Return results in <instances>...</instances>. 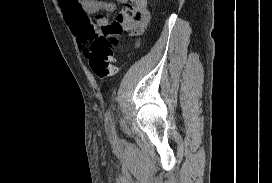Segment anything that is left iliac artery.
<instances>
[{
	"mask_svg": "<svg viewBox=\"0 0 272 183\" xmlns=\"http://www.w3.org/2000/svg\"><path fill=\"white\" fill-rule=\"evenodd\" d=\"M105 126L107 131L111 134V135H115V127H114V123H113V117H112V112L110 109H108L105 113Z\"/></svg>",
	"mask_w": 272,
	"mask_h": 183,
	"instance_id": "obj_1",
	"label": "left iliac artery"
}]
</instances>
